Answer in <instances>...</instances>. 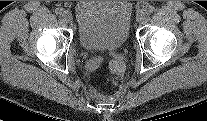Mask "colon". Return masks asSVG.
<instances>
[{
    "label": "colon",
    "mask_w": 207,
    "mask_h": 121,
    "mask_svg": "<svg viewBox=\"0 0 207 121\" xmlns=\"http://www.w3.org/2000/svg\"><path fill=\"white\" fill-rule=\"evenodd\" d=\"M109 69L114 76H118L124 71V63L120 59H114L110 62Z\"/></svg>",
    "instance_id": "1"
}]
</instances>
